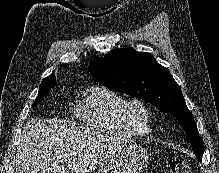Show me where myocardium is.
<instances>
[{
  "label": "myocardium",
  "mask_w": 219,
  "mask_h": 173,
  "mask_svg": "<svg viewBox=\"0 0 219 173\" xmlns=\"http://www.w3.org/2000/svg\"><path fill=\"white\" fill-rule=\"evenodd\" d=\"M134 107H140L146 114V124L141 127L133 118L132 110ZM120 117L122 122L131 129L136 135H147L151 132V123L153 112L150 105L140 98H131L123 102L120 108Z\"/></svg>",
  "instance_id": "f54148a6"
}]
</instances>
